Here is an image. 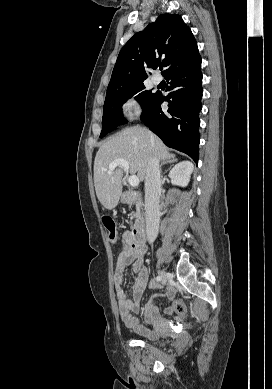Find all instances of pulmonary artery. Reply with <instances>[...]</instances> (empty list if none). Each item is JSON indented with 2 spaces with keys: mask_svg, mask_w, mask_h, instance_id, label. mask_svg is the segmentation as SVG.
<instances>
[{
  "mask_svg": "<svg viewBox=\"0 0 272 389\" xmlns=\"http://www.w3.org/2000/svg\"><path fill=\"white\" fill-rule=\"evenodd\" d=\"M162 78L159 75H153L152 81L154 84L158 85L161 82Z\"/></svg>",
  "mask_w": 272,
  "mask_h": 389,
  "instance_id": "1",
  "label": "pulmonary artery"
}]
</instances>
